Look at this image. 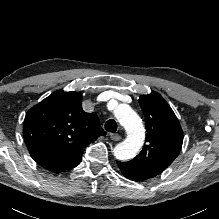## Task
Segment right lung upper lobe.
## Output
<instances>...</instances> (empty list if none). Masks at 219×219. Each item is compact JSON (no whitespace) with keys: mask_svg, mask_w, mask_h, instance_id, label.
Returning a JSON list of instances; mask_svg holds the SVG:
<instances>
[{"mask_svg":"<svg viewBox=\"0 0 219 219\" xmlns=\"http://www.w3.org/2000/svg\"><path fill=\"white\" fill-rule=\"evenodd\" d=\"M105 134L97 114L83 111L79 92H53L24 120L23 136L31 157L53 173L76 167L84 149Z\"/></svg>","mask_w":219,"mask_h":219,"instance_id":"obj_1","label":"right lung upper lobe"}]
</instances>
